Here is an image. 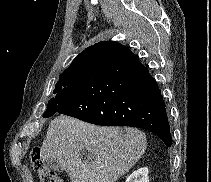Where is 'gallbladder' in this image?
Instances as JSON below:
<instances>
[{"label":"gallbladder","mask_w":211,"mask_h":182,"mask_svg":"<svg viewBox=\"0 0 211 182\" xmlns=\"http://www.w3.org/2000/svg\"><path fill=\"white\" fill-rule=\"evenodd\" d=\"M82 155H83V158L86 160H89L92 158V154L90 152L82 151ZM46 164L53 171L60 172L63 170L62 166L58 163V161L54 159H51V158L46 159Z\"/></svg>","instance_id":"bac80fb5"}]
</instances>
